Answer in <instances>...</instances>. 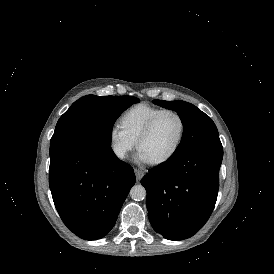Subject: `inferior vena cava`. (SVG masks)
Wrapping results in <instances>:
<instances>
[{
    "label": "inferior vena cava",
    "mask_w": 274,
    "mask_h": 274,
    "mask_svg": "<svg viewBox=\"0 0 274 274\" xmlns=\"http://www.w3.org/2000/svg\"><path fill=\"white\" fill-rule=\"evenodd\" d=\"M118 156H119L120 158H124V157H125V152H124V151H119V152H118Z\"/></svg>",
    "instance_id": "602c4592"
}]
</instances>
